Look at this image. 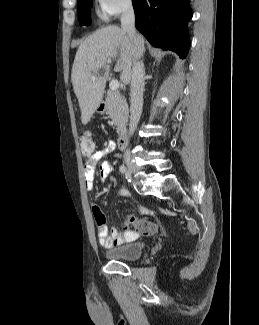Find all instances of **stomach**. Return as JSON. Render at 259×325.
Segmentation results:
<instances>
[{"mask_svg": "<svg viewBox=\"0 0 259 325\" xmlns=\"http://www.w3.org/2000/svg\"><path fill=\"white\" fill-rule=\"evenodd\" d=\"M106 110H107V106H106L105 103H103V102H101V103L98 105L97 109H96V111H97L98 113H100V114L105 113Z\"/></svg>", "mask_w": 259, "mask_h": 325, "instance_id": "1", "label": "stomach"}]
</instances>
